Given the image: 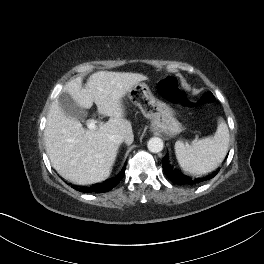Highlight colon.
I'll return each instance as SVG.
<instances>
[{
	"instance_id": "colon-1",
	"label": "colon",
	"mask_w": 264,
	"mask_h": 264,
	"mask_svg": "<svg viewBox=\"0 0 264 264\" xmlns=\"http://www.w3.org/2000/svg\"><path fill=\"white\" fill-rule=\"evenodd\" d=\"M159 91L166 99L186 106L208 105L214 100V95L209 91L201 94L196 100L189 99L173 76H167L160 81Z\"/></svg>"
}]
</instances>
